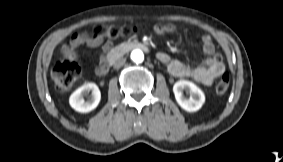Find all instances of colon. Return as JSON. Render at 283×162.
I'll use <instances>...</instances> for the list:
<instances>
[{
	"mask_svg": "<svg viewBox=\"0 0 283 162\" xmlns=\"http://www.w3.org/2000/svg\"><path fill=\"white\" fill-rule=\"evenodd\" d=\"M136 31L129 26H104L97 25L93 29L94 36L103 38L116 39L126 37ZM80 75V67L77 63L71 61L57 62L51 71V77L55 85L62 90L70 89L77 81ZM230 84V77L227 73L222 74L215 84V92L218 95H224Z\"/></svg>",
	"mask_w": 283,
	"mask_h": 162,
	"instance_id": "5ec220e1",
	"label": "colon"
}]
</instances>
